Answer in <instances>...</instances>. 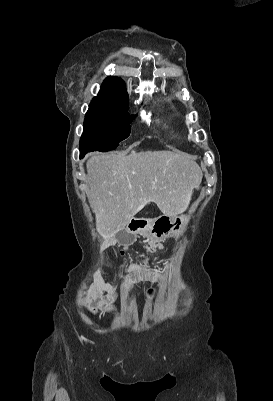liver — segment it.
<instances>
[{"label":"liver","mask_w":273,"mask_h":401,"mask_svg":"<svg viewBox=\"0 0 273 401\" xmlns=\"http://www.w3.org/2000/svg\"><path fill=\"white\" fill-rule=\"evenodd\" d=\"M86 168L96 231L106 243L150 201L166 217L184 213L203 176L194 156L181 150L100 152L88 158Z\"/></svg>","instance_id":"obj_1"}]
</instances>
